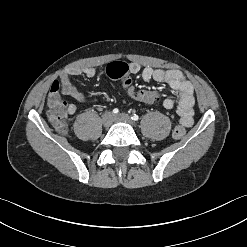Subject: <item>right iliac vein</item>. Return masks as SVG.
Returning <instances> with one entry per match:
<instances>
[{"instance_id":"63e3f726","label":"right iliac vein","mask_w":247,"mask_h":247,"mask_svg":"<svg viewBox=\"0 0 247 247\" xmlns=\"http://www.w3.org/2000/svg\"><path fill=\"white\" fill-rule=\"evenodd\" d=\"M114 119V115L111 112H106L102 116V123L104 127H110Z\"/></svg>"}]
</instances>
